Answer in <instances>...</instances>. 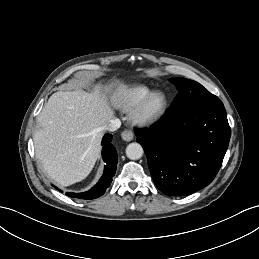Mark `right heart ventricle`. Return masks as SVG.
Returning <instances> with one entry per match:
<instances>
[{
    "label": "right heart ventricle",
    "instance_id": "1",
    "mask_svg": "<svg viewBox=\"0 0 259 259\" xmlns=\"http://www.w3.org/2000/svg\"><path fill=\"white\" fill-rule=\"evenodd\" d=\"M151 89L145 85H132L118 89L111 98V103L119 110L127 111L136 106Z\"/></svg>",
    "mask_w": 259,
    "mask_h": 259
}]
</instances>
